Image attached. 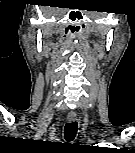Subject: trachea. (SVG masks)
I'll use <instances>...</instances> for the list:
<instances>
[{"label": "trachea", "mask_w": 135, "mask_h": 153, "mask_svg": "<svg viewBox=\"0 0 135 153\" xmlns=\"http://www.w3.org/2000/svg\"><path fill=\"white\" fill-rule=\"evenodd\" d=\"M77 122H69L65 125L64 127V138L67 141H72L74 140L76 133H77Z\"/></svg>", "instance_id": "trachea-1"}]
</instances>
